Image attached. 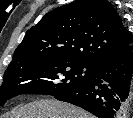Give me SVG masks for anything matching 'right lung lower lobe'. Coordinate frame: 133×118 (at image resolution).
<instances>
[{"label": "right lung lower lobe", "mask_w": 133, "mask_h": 118, "mask_svg": "<svg viewBox=\"0 0 133 118\" xmlns=\"http://www.w3.org/2000/svg\"><path fill=\"white\" fill-rule=\"evenodd\" d=\"M133 53L129 45L94 67L92 79L55 96L79 106L98 118H123L130 105Z\"/></svg>", "instance_id": "right-lung-lower-lobe-1"}]
</instances>
